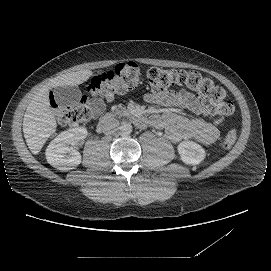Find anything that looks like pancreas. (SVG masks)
<instances>
[{
	"instance_id": "cf45deb5",
	"label": "pancreas",
	"mask_w": 271,
	"mask_h": 271,
	"mask_svg": "<svg viewBox=\"0 0 271 271\" xmlns=\"http://www.w3.org/2000/svg\"><path fill=\"white\" fill-rule=\"evenodd\" d=\"M120 111H121V112H126V111H127V109H126V108H124V107H121V108H120Z\"/></svg>"
}]
</instances>
